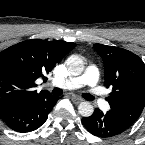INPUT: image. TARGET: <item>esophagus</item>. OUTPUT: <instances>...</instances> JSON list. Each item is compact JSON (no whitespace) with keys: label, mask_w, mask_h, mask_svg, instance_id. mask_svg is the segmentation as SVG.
<instances>
[{"label":"esophagus","mask_w":145,"mask_h":145,"mask_svg":"<svg viewBox=\"0 0 145 145\" xmlns=\"http://www.w3.org/2000/svg\"><path fill=\"white\" fill-rule=\"evenodd\" d=\"M71 100L75 103V104H79L80 102L83 101V99L77 95H72L71 96Z\"/></svg>","instance_id":"esophagus-1"}]
</instances>
